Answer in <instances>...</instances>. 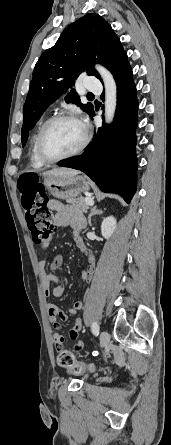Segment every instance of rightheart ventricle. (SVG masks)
<instances>
[{
  "label": "right heart ventricle",
  "mask_w": 171,
  "mask_h": 445,
  "mask_svg": "<svg viewBox=\"0 0 171 445\" xmlns=\"http://www.w3.org/2000/svg\"><path fill=\"white\" fill-rule=\"evenodd\" d=\"M45 121H46V120L42 121V122L39 124V126H38V128H37L35 134H34L33 137H32V140H31V145H30V162H31V165H32L33 167H35V168L42 167V166H44V164H45V163H43V162L38 158V156H37V154H36V148H35V145H36V139H37L38 133H39V131H40L42 125L45 123Z\"/></svg>",
  "instance_id": "e07e8e85"
}]
</instances>
